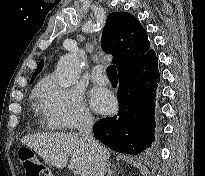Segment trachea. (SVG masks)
Here are the masks:
<instances>
[{
	"mask_svg": "<svg viewBox=\"0 0 205 176\" xmlns=\"http://www.w3.org/2000/svg\"><path fill=\"white\" fill-rule=\"evenodd\" d=\"M107 73L109 77H117L116 67L114 65L108 66Z\"/></svg>",
	"mask_w": 205,
	"mask_h": 176,
	"instance_id": "obj_1",
	"label": "trachea"
}]
</instances>
